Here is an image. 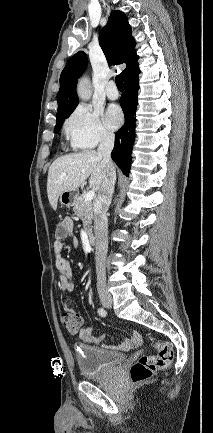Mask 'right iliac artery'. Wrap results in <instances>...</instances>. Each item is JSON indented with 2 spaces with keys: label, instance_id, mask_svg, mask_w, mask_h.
Here are the masks:
<instances>
[{
  "label": "right iliac artery",
  "instance_id": "obj_1",
  "mask_svg": "<svg viewBox=\"0 0 213 433\" xmlns=\"http://www.w3.org/2000/svg\"><path fill=\"white\" fill-rule=\"evenodd\" d=\"M97 312L102 317H105L107 315V312L104 308H99Z\"/></svg>",
  "mask_w": 213,
  "mask_h": 433
}]
</instances>
